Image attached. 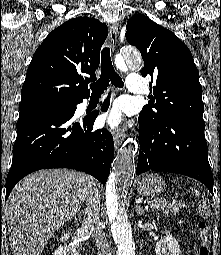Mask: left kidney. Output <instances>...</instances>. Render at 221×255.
Returning a JSON list of instances; mask_svg holds the SVG:
<instances>
[{
  "label": "left kidney",
  "instance_id": "1",
  "mask_svg": "<svg viewBox=\"0 0 221 255\" xmlns=\"http://www.w3.org/2000/svg\"><path fill=\"white\" fill-rule=\"evenodd\" d=\"M155 253L156 255H179L180 246L175 237L170 232H166V236L157 242Z\"/></svg>",
  "mask_w": 221,
  "mask_h": 255
}]
</instances>
